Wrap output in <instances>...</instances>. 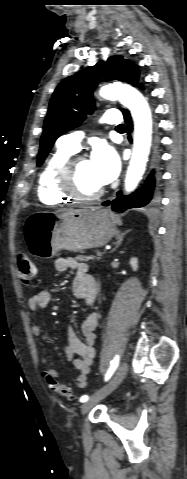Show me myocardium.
<instances>
[{"instance_id": "f54148a6", "label": "myocardium", "mask_w": 187, "mask_h": 479, "mask_svg": "<svg viewBox=\"0 0 187 479\" xmlns=\"http://www.w3.org/2000/svg\"><path fill=\"white\" fill-rule=\"evenodd\" d=\"M81 159V156H73L65 163L59 177V188L62 193L72 200L78 202H92L99 199L103 195L105 189L101 187L92 194H84L80 191L77 185V168Z\"/></svg>"}]
</instances>
